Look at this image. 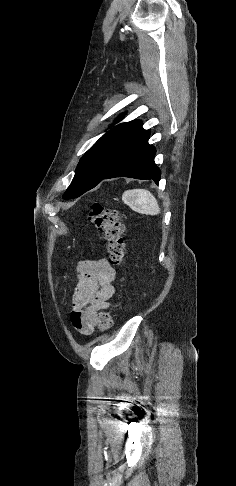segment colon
I'll return each mask as SVG.
<instances>
[{"label": "colon", "instance_id": "1", "mask_svg": "<svg viewBox=\"0 0 236 486\" xmlns=\"http://www.w3.org/2000/svg\"><path fill=\"white\" fill-rule=\"evenodd\" d=\"M90 220L100 231L106 243L109 261L114 265H120L125 259L124 225L120 221L119 212L106 208L100 203H94L90 213ZM113 325V312L102 311L97 316V327L100 331H106Z\"/></svg>", "mask_w": 236, "mask_h": 486}]
</instances>
